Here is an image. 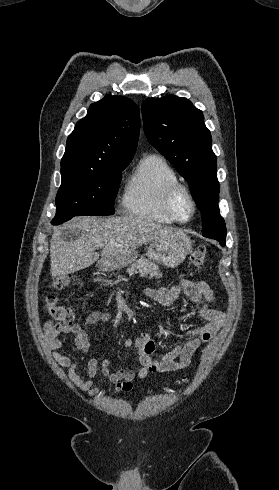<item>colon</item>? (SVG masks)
<instances>
[{
    "instance_id": "5ec220e1",
    "label": "colon",
    "mask_w": 279,
    "mask_h": 490,
    "mask_svg": "<svg viewBox=\"0 0 279 490\" xmlns=\"http://www.w3.org/2000/svg\"><path fill=\"white\" fill-rule=\"evenodd\" d=\"M207 248L204 244H199L196 249L191 253L189 263L196 269H202L206 262ZM69 280L68 277L55 281L53 287L59 289L63 284ZM45 308L49 315V318L55 322H62L65 324H72L77 319V312L74 308H68L59 303L56 295L49 294L45 297Z\"/></svg>"
}]
</instances>
